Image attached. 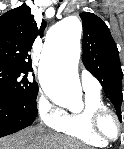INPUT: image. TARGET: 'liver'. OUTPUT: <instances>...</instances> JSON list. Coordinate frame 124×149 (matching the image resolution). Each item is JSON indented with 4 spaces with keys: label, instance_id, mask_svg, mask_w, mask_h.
Here are the masks:
<instances>
[{
    "label": "liver",
    "instance_id": "obj_1",
    "mask_svg": "<svg viewBox=\"0 0 124 149\" xmlns=\"http://www.w3.org/2000/svg\"><path fill=\"white\" fill-rule=\"evenodd\" d=\"M0 149H87L76 140L31 127L0 139Z\"/></svg>",
    "mask_w": 124,
    "mask_h": 149
}]
</instances>
